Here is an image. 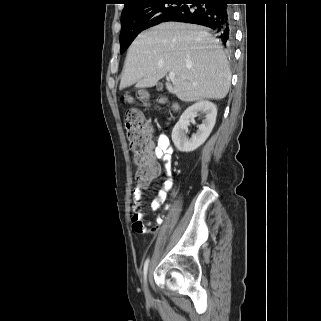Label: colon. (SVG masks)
<instances>
[{
    "label": "colon",
    "instance_id": "5ec220e1",
    "mask_svg": "<svg viewBox=\"0 0 321 321\" xmlns=\"http://www.w3.org/2000/svg\"><path fill=\"white\" fill-rule=\"evenodd\" d=\"M141 100L146 102L147 98L143 96ZM125 129L135 167V178L139 182L152 180L156 176L157 168L149 154V125L141 111L131 109L125 114Z\"/></svg>",
    "mask_w": 321,
    "mask_h": 321
}]
</instances>
